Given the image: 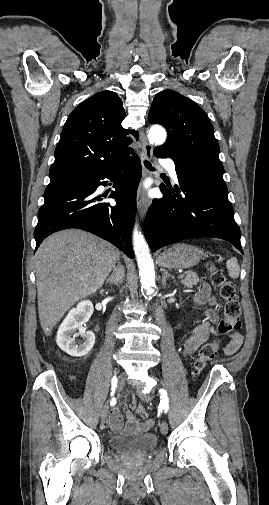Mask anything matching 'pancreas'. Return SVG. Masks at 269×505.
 I'll list each match as a JSON object with an SVG mask.
<instances>
[{
	"label": "pancreas",
	"instance_id": "1",
	"mask_svg": "<svg viewBox=\"0 0 269 505\" xmlns=\"http://www.w3.org/2000/svg\"><path fill=\"white\" fill-rule=\"evenodd\" d=\"M200 281L198 275L195 272L187 271L185 272V278L181 280V283L187 287L191 288Z\"/></svg>",
	"mask_w": 269,
	"mask_h": 505
}]
</instances>
